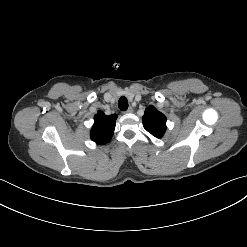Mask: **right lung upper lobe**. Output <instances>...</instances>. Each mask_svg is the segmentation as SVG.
<instances>
[{"label":"right lung upper lobe","mask_w":247,"mask_h":247,"mask_svg":"<svg viewBox=\"0 0 247 247\" xmlns=\"http://www.w3.org/2000/svg\"><path fill=\"white\" fill-rule=\"evenodd\" d=\"M117 115H105L99 111L94 117V124L90 132V137L97 144L108 143L114 133Z\"/></svg>","instance_id":"obj_1"}]
</instances>
